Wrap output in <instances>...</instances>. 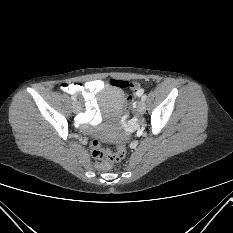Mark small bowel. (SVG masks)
<instances>
[{
  "label": "small bowel",
  "mask_w": 233,
  "mask_h": 233,
  "mask_svg": "<svg viewBox=\"0 0 233 233\" xmlns=\"http://www.w3.org/2000/svg\"><path fill=\"white\" fill-rule=\"evenodd\" d=\"M105 87V83L101 80H92L85 83H63L61 90L72 95L80 94L83 97L85 110L78 116L79 125L84 128L88 124L95 125L100 121V112L95 95ZM141 89L136 94L140 96Z\"/></svg>",
  "instance_id": "c3829d8e"
}]
</instances>
